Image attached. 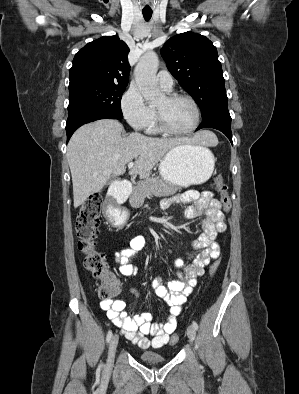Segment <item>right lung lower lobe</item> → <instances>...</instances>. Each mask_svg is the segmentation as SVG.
I'll list each match as a JSON object with an SVG mask.
<instances>
[{"mask_svg": "<svg viewBox=\"0 0 299 394\" xmlns=\"http://www.w3.org/2000/svg\"><path fill=\"white\" fill-rule=\"evenodd\" d=\"M68 112L69 115L66 122L67 142L69 141L72 134L76 131V129H78L83 124L105 118L118 120L123 119L116 117L107 111L92 108L73 109Z\"/></svg>", "mask_w": 299, "mask_h": 394, "instance_id": "right-lung-lower-lobe-1", "label": "right lung lower lobe"}]
</instances>
